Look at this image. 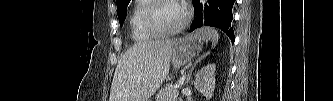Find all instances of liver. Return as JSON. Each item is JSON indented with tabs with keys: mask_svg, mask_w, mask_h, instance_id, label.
<instances>
[{
	"mask_svg": "<svg viewBox=\"0 0 333 101\" xmlns=\"http://www.w3.org/2000/svg\"><path fill=\"white\" fill-rule=\"evenodd\" d=\"M174 40L138 42L118 61L109 101H147L169 72Z\"/></svg>",
	"mask_w": 333,
	"mask_h": 101,
	"instance_id": "obj_1",
	"label": "liver"
}]
</instances>
